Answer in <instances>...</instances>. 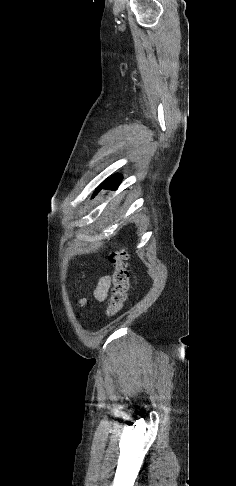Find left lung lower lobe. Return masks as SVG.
Wrapping results in <instances>:
<instances>
[{"mask_svg":"<svg viewBox=\"0 0 236 486\" xmlns=\"http://www.w3.org/2000/svg\"><path fill=\"white\" fill-rule=\"evenodd\" d=\"M122 180V176L119 175V174H115L113 176H111L109 179L105 180L100 186L99 188L97 189L96 193L100 190V189H117V187L119 186L120 182ZM95 193V194H96Z\"/></svg>","mask_w":236,"mask_h":486,"instance_id":"left-lung-lower-lobe-1","label":"left lung lower lobe"}]
</instances>
